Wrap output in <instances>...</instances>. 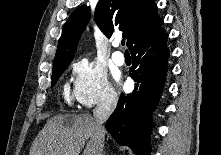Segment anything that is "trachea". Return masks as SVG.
I'll use <instances>...</instances> for the list:
<instances>
[{
    "label": "trachea",
    "instance_id": "trachea-1",
    "mask_svg": "<svg viewBox=\"0 0 221 155\" xmlns=\"http://www.w3.org/2000/svg\"><path fill=\"white\" fill-rule=\"evenodd\" d=\"M121 44H122V45H125V39H123V40L121 41Z\"/></svg>",
    "mask_w": 221,
    "mask_h": 155
}]
</instances>
